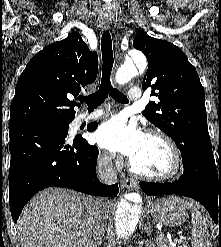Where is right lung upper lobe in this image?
Here are the masks:
<instances>
[{
    "label": "right lung upper lobe",
    "instance_id": "1",
    "mask_svg": "<svg viewBox=\"0 0 221 247\" xmlns=\"http://www.w3.org/2000/svg\"><path fill=\"white\" fill-rule=\"evenodd\" d=\"M98 56L77 32L38 52L26 65L11 103L10 127L71 122L80 91L95 81Z\"/></svg>",
    "mask_w": 221,
    "mask_h": 247
}]
</instances>
